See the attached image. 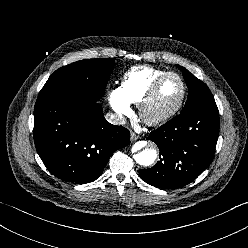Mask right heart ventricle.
<instances>
[{
  "instance_id": "e07e8e85",
  "label": "right heart ventricle",
  "mask_w": 248,
  "mask_h": 248,
  "mask_svg": "<svg viewBox=\"0 0 248 248\" xmlns=\"http://www.w3.org/2000/svg\"><path fill=\"white\" fill-rule=\"evenodd\" d=\"M166 71L151 66H136L125 73L121 90L130 103L140 104L152 83Z\"/></svg>"
}]
</instances>
